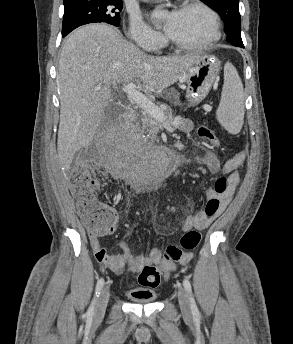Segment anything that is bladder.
<instances>
[{
    "label": "bladder",
    "instance_id": "1",
    "mask_svg": "<svg viewBox=\"0 0 293 344\" xmlns=\"http://www.w3.org/2000/svg\"><path fill=\"white\" fill-rule=\"evenodd\" d=\"M127 294L134 299L138 303L146 304V303H151L155 300L156 295L154 294H149V295H144V296H134L132 291H127Z\"/></svg>",
    "mask_w": 293,
    "mask_h": 344
}]
</instances>
